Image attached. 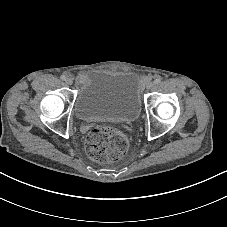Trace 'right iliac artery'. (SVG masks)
<instances>
[{"label": "right iliac artery", "mask_w": 227, "mask_h": 227, "mask_svg": "<svg viewBox=\"0 0 227 227\" xmlns=\"http://www.w3.org/2000/svg\"><path fill=\"white\" fill-rule=\"evenodd\" d=\"M60 79L63 80V81L66 80L65 75H61V76H60Z\"/></svg>", "instance_id": "82829eb1"}]
</instances>
